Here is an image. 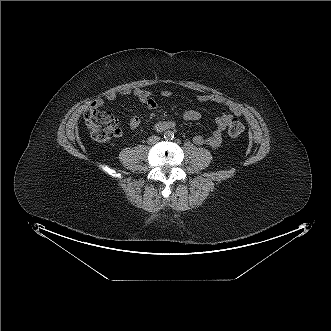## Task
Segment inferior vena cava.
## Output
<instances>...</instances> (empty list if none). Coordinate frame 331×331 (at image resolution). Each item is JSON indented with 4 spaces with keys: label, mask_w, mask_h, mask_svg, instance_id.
<instances>
[{
    "label": "inferior vena cava",
    "mask_w": 331,
    "mask_h": 331,
    "mask_svg": "<svg viewBox=\"0 0 331 331\" xmlns=\"http://www.w3.org/2000/svg\"><path fill=\"white\" fill-rule=\"evenodd\" d=\"M160 138L158 136H151L149 139H148V142L149 143H156L157 141H159Z\"/></svg>",
    "instance_id": "1"
}]
</instances>
